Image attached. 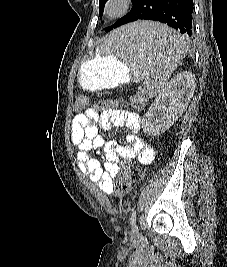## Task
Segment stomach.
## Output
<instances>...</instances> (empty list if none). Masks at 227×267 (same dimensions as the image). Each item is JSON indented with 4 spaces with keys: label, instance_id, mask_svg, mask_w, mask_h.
<instances>
[{
    "label": "stomach",
    "instance_id": "0dacf381",
    "mask_svg": "<svg viewBox=\"0 0 227 267\" xmlns=\"http://www.w3.org/2000/svg\"><path fill=\"white\" fill-rule=\"evenodd\" d=\"M137 63L121 59V55H103V50L94 59L85 61L78 74L82 88L90 91L112 88L133 76Z\"/></svg>",
    "mask_w": 227,
    "mask_h": 267
}]
</instances>
